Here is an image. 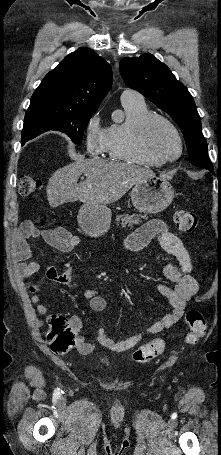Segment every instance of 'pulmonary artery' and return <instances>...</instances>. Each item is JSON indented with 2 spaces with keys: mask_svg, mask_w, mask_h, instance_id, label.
<instances>
[{
  "mask_svg": "<svg viewBox=\"0 0 221 455\" xmlns=\"http://www.w3.org/2000/svg\"><path fill=\"white\" fill-rule=\"evenodd\" d=\"M121 101L143 103L144 98L139 92L130 88H126L121 93Z\"/></svg>",
  "mask_w": 221,
  "mask_h": 455,
  "instance_id": "1",
  "label": "pulmonary artery"
}]
</instances>
